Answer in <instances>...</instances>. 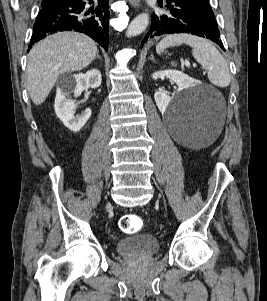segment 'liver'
Masks as SVG:
<instances>
[{
	"instance_id": "6515ba94",
	"label": "liver",
	"mask_w": 267,
	"mask_h": 301,
	"mask_svg": "<svg viewBox=\"0 0 267 301\" xmlns=\"http://www.w3.org/2000/svg\"><path fill=\"white\" fill-rule=\"evenodd\" d=\"M97 52L95 41L73 31L50 35L34 45L27 65V89L33 103L41 105L61 74L84 69Z\"/></svg>"
}]
</instances>
